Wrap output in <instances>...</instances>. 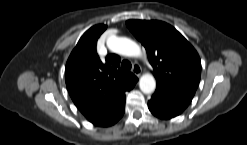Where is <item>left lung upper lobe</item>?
<instances>
[{
    "label": "left lung upper lobe",
    "mask_w": 247,
    "mask_h": 145,
    "mask_svg": "<svg viewBox=\"0 0 247 145\" xmlns=\"http://www.w3.org/2000/svg\"><path fill=\"white\" fill-rule=\"evenodd\" d=\"M126 25L145 47L157 84L193 97L201 77V60L193 46L161 21L128 20Z\"/></svg>",
    "instance_id": "1"
}]
</instances>
